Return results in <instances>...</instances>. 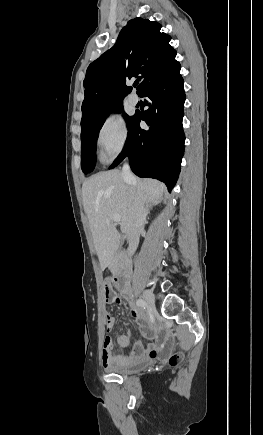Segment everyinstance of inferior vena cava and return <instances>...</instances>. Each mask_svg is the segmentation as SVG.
Returning <instances> with one entry per match:
<instances>
[{
	"instance_id": "inferior-vena-cava-1",
	"label": "inferior vena cava",
	"mask_w": 263,
	"mask_h": 435,
	"mask_svg": "<svg viewBox=\"0 0 263 435\" xmlns=\"http://www.w3.org/2000/svg\"><path fill=\"white\" fill-rule=\"evenodd\" d=\"M122 177L126 184L128 185L129 194L132 202L131 206V218H130V228L128 232L129 247L128 251L130 255H133L139 244L140 231L146 220L147 207L141 203L139 200L136 190L133 187L135 182V177L133 176L128 164H124L122 171Z\"/></svg>"
}]
</instances>
